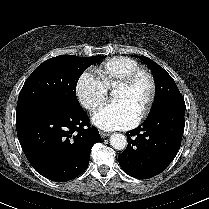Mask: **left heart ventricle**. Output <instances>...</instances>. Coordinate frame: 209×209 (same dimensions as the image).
Returning <instances> with one entry per match:
<instances>
[{"instance_id":"left-heart-ventricle-1","label":"left heart ventricle","mask_w":209,"mask_h":209,"mask_svg":"<svg viewBox=\"0 0 209 209\" xmlns=\"http://www.w3.org/2000/svg\"><path fill=\"white\" fill-rule=\"evenodd\" d=\"M150 84L145 76H139L133 85L127 89H116L114 100L127 102L139 115L149 96Z\"/></svg>"}]
</instances>
